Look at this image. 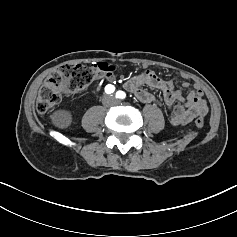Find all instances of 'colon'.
Instances as JSON below:
<instances>
[{
  "label": "colon",
  "mask_w": 237,
  "mask_h": 237,
  "mask_svg": "<svg viewBox=\"0 0 237 237\" xmlns=\"http://www.w3.org/2000/svg\"><path fill=\"white\" fill-rule=\"evenodd\" d=\"M117 71L116 66L107 62H97L91 67L84 65L65 64L46 78L39 90L36 109L40 113L47 112L58 105L64 92H77L87 87L95 78L112 77ZM197 128L204 126V119L199 116L195 120Z\"/></svg>",
  "instance_id": "1"
}]
</instances>
